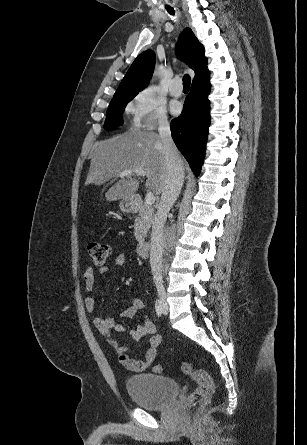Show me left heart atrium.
I'll return each instance as SVG.
<instances>
[{"mask_svg": "<svg viewBox=\"0 0 307 445\" xmlns=\"http://www.w3.org/2000/svg\"><path fill=\"white\" fill-rule=\"evenodd\" d=\"M171 111L174 115H178L181 111V106L178 102L172 101L171 102Z\"/></svg>", "mask_w": 307, "mask_h": 445, "instance_id": "left-heart-atrium-1", "label": "left heart atrium"}]
</instances>
